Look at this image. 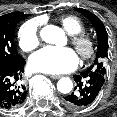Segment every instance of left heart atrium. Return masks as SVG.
Returning a JSON list of instances; mask_svg holds the SVG:
<instances>
[{"mask_svg": "<svg viewBox=\"0 0 117 117\" xmlns=\"http://www.w3.org/2000/svg\"><path fill=\"white\" fill-rule=\"evenodd\" d=\"M78 57L71 48L47 46L33 54L29 59L32 70L48 74H60L74 70Z\"/></svg>", "mask_w": 117, "mask_h": 117, "instance_id": "1", "label": "left heart atrium"}]
</instances>
